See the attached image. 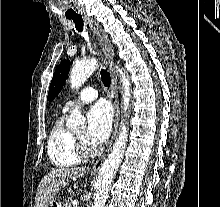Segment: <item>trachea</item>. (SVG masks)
Wrapping results in <instances>:
<instances>
[{
	"label": "trachea",
	"instance_id": "trachea-1",
	"mask_svg": "<svg viewBox=\"0 0 220 207\" xmlns=\"http://www.w3.org/2000/svg\"><path fill=\"white\" fill-rule=\"evenodd\" d=\"M73 20L76 29L78 30V32H82L83 31V27H84V22L81 16H76V17H72L70 18ZM100 75H101V79L102 82L104 84V86L106 87H110L111 84V77L109 72L106 69H102L100 71Z\"/></svg>",
	"mask_w": 220,
	"mask_h": 207
}]
</instances>
